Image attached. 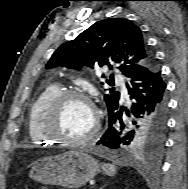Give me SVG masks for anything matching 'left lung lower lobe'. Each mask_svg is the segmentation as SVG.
<instances>
[{
	"instance_id": "1",
	"label": "left lung lower lobe",
	"mask_w": 188,
	"mask_h": 189,
	"mask_svg": "<svg viewBox=\"0 0 188 189\" xmlns=\"http://www.w3.org/2000/svg\"><path fill=\"white\" fill-rule=\"evenodd\" d=\"M129 78L126 86L132 104L130 107L118 105L109 112L110 127L97 145L124 149L129 145L132 134L139 126L166 125L168 111L166 84L156 60H150L146 65L135 69ZM123 113L129 117L126 124L122 120Z\"/></svg>"
}]
</instances>
